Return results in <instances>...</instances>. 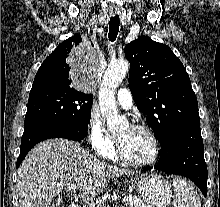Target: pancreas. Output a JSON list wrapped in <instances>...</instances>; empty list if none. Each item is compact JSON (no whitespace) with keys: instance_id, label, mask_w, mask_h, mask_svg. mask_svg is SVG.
Here are the masks:
<instances>
[{"instance_id":"1","label":"pancreas","mask_w":220,"mask_h":207,"mask_svg":"<svg viewBox=\"0 0 220 207\" xmlns=\"http://www.w3.org/2000/svg\"><path fill=\"white\" fill-rule=\"evenodd\" d=\"M102 207V206H101ZM126 207H147L146 204L139 198H133L132 201H128Z\"/></svg>"}]
</instances>
